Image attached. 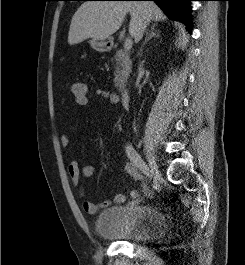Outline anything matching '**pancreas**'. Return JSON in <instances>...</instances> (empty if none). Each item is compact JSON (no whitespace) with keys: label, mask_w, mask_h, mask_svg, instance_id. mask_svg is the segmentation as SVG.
Masks as SVG:
<instances>
[{"label":"pancreas","mask_w":245,"mask_h":265,"mask_svg":"<svg viewBox=\"0 0 245 265\" xmlns=\"http://www.w3.org/2000/svg\"><path fill=\"white\" fill-rule=\"evenodd\" d=\"M114 60L116 63L114 67V84L119 91H122L126 86L127 79L131 72L132 61L127 51L122 49L116 52Z\"/></svg>","instance_id":"1"}]
</instances>
